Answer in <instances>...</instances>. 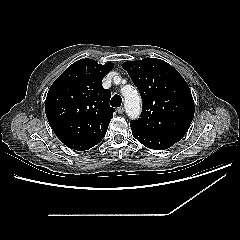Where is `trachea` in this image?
Masks as SVG:
<instances>
[{
	"label": "trachea",
	"instance_id": "1",
	"mask_svg": "<svg viewBox=\"0 0 240 240\" xmlns=\"http://www.w3.org/2000/svg\"><path fill=\"white\" fill-rule=\"evenodd\" d=\"M122 103V98L119 95H114L110 100V105L112 107H120Z\"/></svg>",
	"mask_w": 240,
	"mask_h": 240
}]
</instances>
